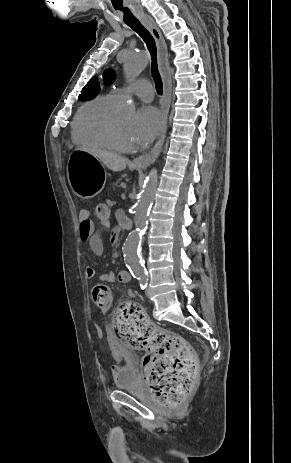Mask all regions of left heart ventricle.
<instances>
[{"mask_svg": "<svg viewBox=\"0 0 291 463\" xmlns=\"http://www.w3.org/2000/svg\"><path fill=\"white\" fill-rule=\"evenodd\" d=\"M116 122H117L123 141L128 145H133L134 142L130 135V129L132 127V122L125 120V119H117Z\"/></svg>", "mask_w": 291, "mask_h": 463, "instance_id": "obj_1", "label": "left heart ventricle"}]
</instances>
